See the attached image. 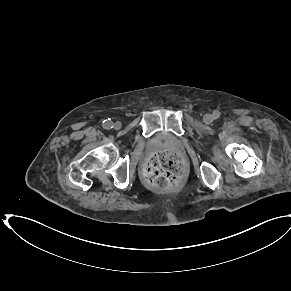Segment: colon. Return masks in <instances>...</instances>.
<instances>
[{
  "mask_svg": "<svg viewBox=\"0 0 291 291\" xmlns=\"http://www.w3.org/2000/svg\"><path fill=\"white\" fill-rule=\"evenodd\" d=\"M180 170V159L170 152L151 156L143 169L146 180L157 189L174 186Z\"/></svg>",
  "mask_w": 291,
  "mask_h": 291,
  "instance_id": "1",
  "label": "colon"
}]
</instances>
